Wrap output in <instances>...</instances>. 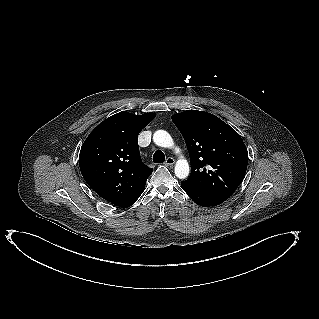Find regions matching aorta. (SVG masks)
I'll list each match as a JSON object with an SVG mask.
<instances>
[{
    "mask_svg": "<svg viewBox=\"0 0 319 319\" xmlns=\"http://www.w3.org/2000/svg\"><path fill=\"white\" fill-rule=\"evenodd\" d=\"M153 141L156 145L164 148H173L174 142L172 137L167 131L157 130L153 134ZM176 152L179 153V148H176ZM175 175L179 179H186L190 173V167L186 159L181 158L176 162L175 165Z\"/></svg>",
    "mask_w": 319,
    "mask_h": 319,
    "instance_id": "aorta-1",
    "label": "aorta"
}]
</instances>
